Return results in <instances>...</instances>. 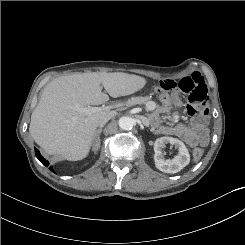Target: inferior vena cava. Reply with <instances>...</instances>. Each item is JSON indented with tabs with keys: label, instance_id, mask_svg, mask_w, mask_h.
I'll return each instance as SVG.
<instances>
[{
	"label": "inferior vena cava",
	"instance_id": "inferior-vena-cava-1",
	"mask_svg": "<svg viewBox=\"0 0 245 245\" xmlns=\"http://www.w3.org/2000/svg\"><path fill=\"white\" fill-rule=\"evenodd\" d=\"M112 117H114V112H109L100 122L99 126L103 127Z\"/></svg>",
	"mask_w": 245,
	"mask_h": 245
}]
</instances>
